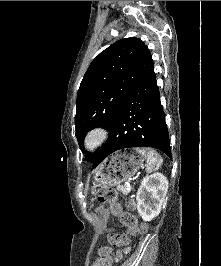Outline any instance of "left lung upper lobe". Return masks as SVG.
Masks as SVG:
<instances>
[{"label":"left lung upper lobe","mask_w":221,"mask_h":266,"mask_svg":"<svg viewBox=\"0 0 221 266\" xmlns=\"http://www.w3.org/2000/svg\"><path fill=\"white\" fill-rule=\"evenodd\" d=\"M153 72L148 47L134 37L115 42L92 61L76 101V137L83 152L87 132L95 127L109 130L129 92ZM97 151L85 152L86 160L94 161Z\"/></svg>","instance_id":"1"}]
</instances>
